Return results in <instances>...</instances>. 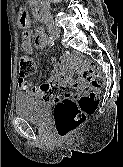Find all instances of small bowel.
I'll return each mask as SVG.
<instances>
[{"mask_svg": "<svg viewBox=\"0 0 123 167\" xmlns=\"http://www.w3.org/2000/svg\"><path fill=\"white\" fill-rule=\"evenodd\" d=\"M21 24L24 28L22 34V50L27 54H31L34 50V45L40 50L43 49L45 46L44 35L41 32H38L33 44L32 32L29 28V23L25 16L22 17ZM55 87H60L64 91L67 89H73L76 92H82L87 88V84L83 80H73L71 82H66L60 69L55 63L53 65L52 72L40 85H35L32 82L23 79L19 80V90L21 93L28 95L29 97L43 100H59V97L54 92ZM65 97L70 98L72 95L66 93Z\"/></svg>", "mask_w": 123, "mask_h": 167, "instance_id": "obj_1", "label": "small bowel"}]
</instances>
